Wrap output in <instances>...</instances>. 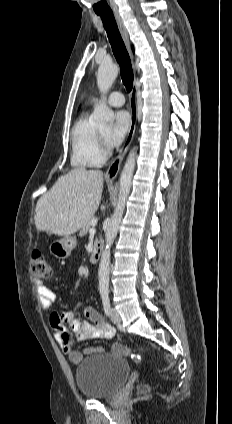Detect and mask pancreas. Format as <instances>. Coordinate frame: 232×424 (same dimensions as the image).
I'll list each match as a JSON object with an SVG mask.
<instances>
[{
    "mask_svg": "<svg viewBox=\"0 0 232 424\" xmlns=\"http://www.w3.org/2000/svg\"><path fill=\"white\" fill-rule=\"evenodd\" d=\"M95 219L94 217H92L86 224L84 227H82L81 231H80V236H84L88 233L90 227H91V220Z\"/></svg>",
    "mask_w": 232,
    "mask_h": 424,
    "instance_id": "obj_1",
    "label": "pancreas"
}]
</instances>
